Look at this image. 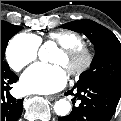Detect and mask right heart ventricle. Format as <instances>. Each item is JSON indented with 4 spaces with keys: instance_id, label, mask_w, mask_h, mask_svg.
Segmentation results:
<instances>
[{
    "instance_id": "1",
    "label": "right heart ventricle",
    "mask_w": 121,
    "mask_h": 121,
    "mask_svg": "<svg viewBox=\"0 0 121 121\" xmlns=\"http://www.w3.org/2000/svg\"><path fill=\"white\" fill-rule=\"evenodd\" d=\"M39 40L42 39L36 35H32ZM48 37L59 44L61 47H72V46H83L82 39L73 34V33H66V32H52L48 34Z\"/></svg>"
}]
</instances>
